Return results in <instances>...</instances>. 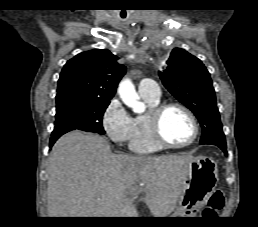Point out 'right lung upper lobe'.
Wrapping results in <instances>:
<instances>
[{
  "label": "right lung upper lobe",
  "instance_id": "obj_1",
  "mask_svg": "<svg viewBox=\"0 0 258 227\" xmlns=\"http://www.w3.org/2000/svg\"><path fill=\"white\" fill-rule=\"evenodd\" d=\"M107 49L82 52L63 67L58 80L56 98L78 96L107 101L114 96L126 67Z\"/></svg>",
  "mask_w": 258,
  "mask_h": 227
}]
</instances>
